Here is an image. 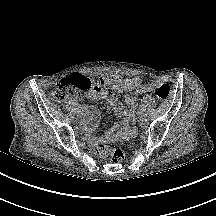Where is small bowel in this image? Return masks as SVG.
<instances>
[{
	"label": "small bowel",
	"mask_w": 216,
	"mask_h": 216,
	"mask_svg": "<svg viewBox=\"0 0 216 216\" xmlns=\"http://www.w3.org/2000/svg\"><path fill=\"white\" fill-rule=\"evenodd\" d=\"M105 81V84L110 87V89H103L98 92L90 94V98L93 101H98L100 99H106L114 113L122 118V123L120 126H116L115 130L107 132L104 136L96 138L91 136V132L97 125L98 114L95 109L90 107H85L86 119L83 122V129L88 133L89 140L92 144H97L99 142H112L120 139H127L133 136L134 132L131 129V124L134 122V110L136 109L139 98L142 94L152 91L151 84L143 85L140 78H130L124 79L116 73H109L101 76ZM128 92L125 97L126 104L131 110L124 108L122 103L119 101L116 93Z\"/></svg>",
	"instance_id": "1"
}]
</instances>
